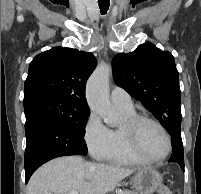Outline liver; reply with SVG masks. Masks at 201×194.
I'll return each instance as SVG.
<instances>
[{
    "instance_id": "1",
    "label": "liver",
    "mask_w": 201,
    "mask_h": 194,
    "mask_svg": "<svg viewBox=\"0 0 201 194\" xmlns=\"http://www.w3.org/2000/svg\"><path fill=\"white\" fill-rule=\"evenodd\" d=\"M137 169L86 162L80 156L60 157L41 166L30 178L27 194H106Z\"/></svg>"
}]
</instances>
